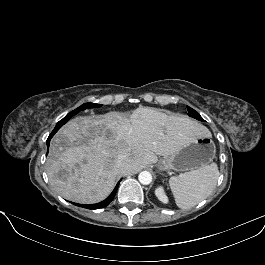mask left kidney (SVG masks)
<instances>
[{"mask_svg": "<svg viewBox=\"0 0 265 265\" xmlns=\"http://www.w3.org/2000/svg\"><path fill=\"white\" fill-rule=\"evenodd\" d=\"M155 195L156 197L163 203H168V197L165 194L164 188L162 186H159L155 189Z\"/></svg>", "mask_w": 265, "mask_h": 265, "instance_id": "1", "label": "left kidney"}]
</instances>
